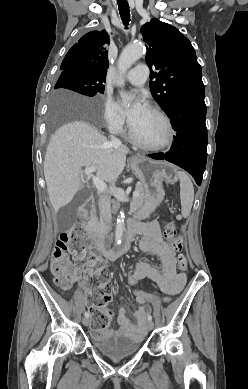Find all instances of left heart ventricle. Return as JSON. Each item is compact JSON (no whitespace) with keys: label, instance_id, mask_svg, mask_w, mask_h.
Wrapping results in <instances>:
<instances>
[{"label":"left heart ventricle","instance_id":"1","mask_svg":"<svg viewBox=\"0 0 248 389\" xmlns=\"http://www.w3.org/2000/svg\"><path fill=\"white\" fill-rule=\"evenodd\" d=\"M137 139L147 144H157L166 137V126L162 119L145 109L135 123L131 125Z\"/></svg>","mask_w":248,"mask_h":389}]
</instances>
